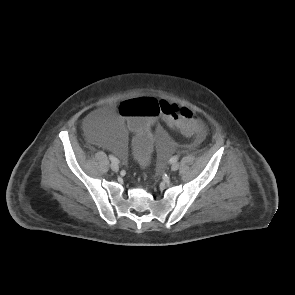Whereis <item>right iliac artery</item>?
<instances>
[{"instance_id":"82829eb1","label":"right iliac artery","mask_w":295,"mask_h":295,"mask_svg":"<svg viewBox=\"0 0 295 295\" xmlns=\"http://www.w3.org/2000/svg\"><path fill=\"white\" fill-rule=\"evenodd\" d=\"M109 159L112 161V162H115V163H119V160L114 157L113 155H109Z\"/></svg>"}]
</instances>
